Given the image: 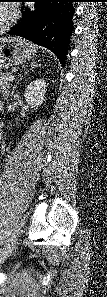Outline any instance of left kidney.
Returning a JSON list of instances; mask_svg holds the SVG:
<instances>
[{
  "label": "left kidney",
  "mask_w": 107,
  "mask_h": 297,
  "mask_svg": "<svg viewBox=\"0 0 107 297\" xmlns=\"http://www.w3.org/2000/svg\"><path fill=\"white\" fill-rule=\"evenodd\" d=\"M45 82L43 80H36L30 83L27 87L25 98L30 105H39L44 97Z\"/></svg>",
  "instance_id": "left-kidney-1"
}]
</instances>
